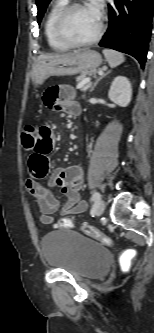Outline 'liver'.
I'll return each mask as SVG.
<instances>
[{
    "instance_id": "obj_1",
    "label": "liver",
    "mask_w": 154,
    "mask_h": 333,
    "mask_svg": "<svg viewBox=\"0 0 154 333\" xmlns=\"http://www.w3.org/2000/svg\"><path fill=\"white\" fill-rule=\"evenodd\" d=\"M66 54H41L38 56L37 58V61H40V60H48V59H54V58H58V57H61V56H64Z\"/></svg>"
}]
</instances>
